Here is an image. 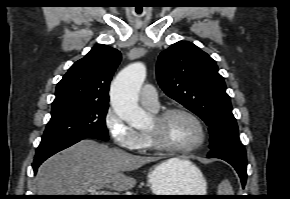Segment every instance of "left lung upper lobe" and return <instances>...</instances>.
<instances>
[{"label": "left lung upper lobe", "mask_w": 290, "mask_h": 199, "mask_svg": "<svg viewBox=\"0 0 290 199\" xmlns=\"http://www.w3.org/2000/svg\"><path fill=\"white\" fill-rule=\"evenodd\" d=\"M157 80L169 97L209 126L211 150L242 145L224 78L207 53L191 42L173 44L158 58Z\"/></svg>", "instance_id": "left-lung-upper-lobe-1"}]
</instances>
